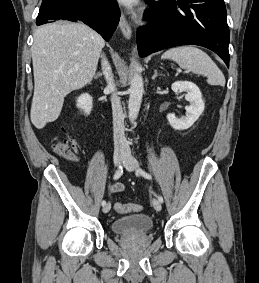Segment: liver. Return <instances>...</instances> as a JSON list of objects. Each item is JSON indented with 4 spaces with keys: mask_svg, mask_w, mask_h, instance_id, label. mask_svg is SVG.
I'll list each match as a JSON object with an SVG mask.
<instances>
[{
    "mask_svg": "<svg viewBox=\"0 0 259 283\" xmlns=\"http://www.w3.org/2000/svg\"><path fill=\"white\" fill-rule=\"evenodd\" d=\"M104 45V39L83 23L56 22L35 31L30 118L36 128L54 122L66 95L92 81Z\"/></svg>",
    "mask_w": 259,
    "mask_h": 283,
    "instance_id": "1",
    "label": "liver"
}]
</instances>
